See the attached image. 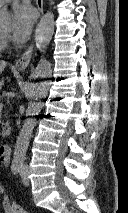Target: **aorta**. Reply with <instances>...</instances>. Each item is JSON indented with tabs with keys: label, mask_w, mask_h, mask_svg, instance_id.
Here are the masks:
<instances>
[{
	"label": "aorta",
	"mask_w": 128,
	"mask_h": 213,
	"mask_svg": "<svg viewBox=\"0 0 128 213\" xmlns=\"http://www.w3.org/2000/svg\"><path fill=\"white\" fill-rule=\"evenodd\" d=\"M53 3V0H50V5H52ZM8 18V12L0 10V24L5 23ZM53 33L54 14L51 11H48L41 18L35 31L36 47L41 53H44L46 51L47 46L49 45L52 39ZM51 74L52 70L50 62L47 61L44 56H41L35 69V77L43 80L36 83L30 93L31 100L26 110V119L23 122L13 151V168L21 167L25 161L30 137L36 123L34 116L38 115L43 107L41 99L45 98L48 94L50 87V82L48 78L51 77Z\"/></svg>",
	"instance_id": "762f6f07"
}]
</instances>
